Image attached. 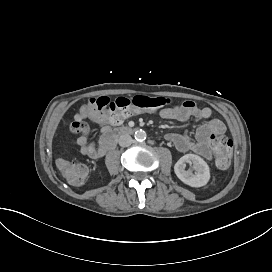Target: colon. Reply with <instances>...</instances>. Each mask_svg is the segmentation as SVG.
I'll return each mask as SVG.
<instances>
[{
  "instance_id": "colon-1",
  "label": "colon",
  "mask_w": 272,
  "mask_h": 272,
  "mask_svg": "<svg viewBox=\"0 0 272 272\" xmlns=\"http://www.w3.org/2000/svg\"><path fill=\"white\" fill-rule=\"evenodd\" d=\"M170 102V99L163 96L151 97L138 95L133 98H127L122 95H116L111 103L110 98L99 96L91 98L89 103L96 108L93 117L97 121H102L105 117L111 124H121L131 114L137 111H156ZM79 112L83 116H88L92 112V107L88 103H83L79 107ZM89 124L82 118L73 119L69 123V132L80 136H85L89 132ZM207 143L214 148L215 163L219 169H226L230 164V159L234 150V142L228 135L220 131H212L207 136ZM65 157L59 162V172L62 176L68 178V182L73 187L82 184L83 178L88 174V169L83 164L72 165L79 157V152L75 148H69L65 152Z\"/></svg>"
}]
</instances>
